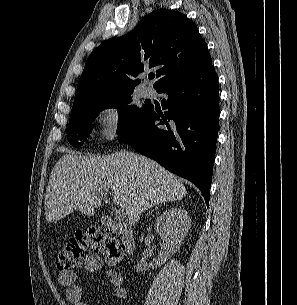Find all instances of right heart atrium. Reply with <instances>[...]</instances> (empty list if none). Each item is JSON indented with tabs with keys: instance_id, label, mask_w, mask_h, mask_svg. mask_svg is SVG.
Wrapping results in <instances>:
<instances>
[{
	"instance_id": "right-heart-atrium-1",
	"label": "right heart atrium",
	"mask_w": 297,
	"mask_h": 305,
	"mask_svg": "<svg viewBox=\"0 0 297 305\" xmlns=\"http://www.w3.org/2000/svg\"><path fill=\"white\" fill-rule=\"evenodd\" d=\"M96 120L102 142L110 143L119 138L124 129V108L121 101H105L97 111Z\"/></svg>"
}]
</instances>
